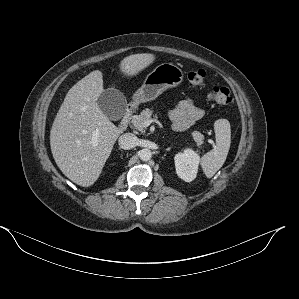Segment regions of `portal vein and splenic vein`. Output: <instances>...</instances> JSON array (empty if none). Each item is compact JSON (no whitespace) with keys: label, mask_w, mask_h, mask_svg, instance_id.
Returning a JSON list of instances; mask_svg holds the SVG:
<instances>
[{"label":"portal vein and splenic vein","mask_w":299,"mask_h":299,"mask_svg":"<svg viewBox=\"0 0 299 299\" xmlns=\"http://www.w3.org/2000/svg\"><path fill=\"white\" fill-rule=\"evenodd\" d=\"M151 120H146L145 122H144V126L145 127H147V126H149L150 124H151Z\"/></svg>","instance_id":"obj_1"}]
</instances>
